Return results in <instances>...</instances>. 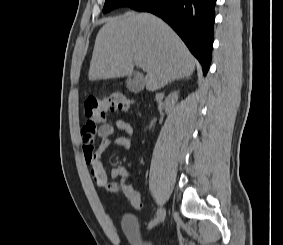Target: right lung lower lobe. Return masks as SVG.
Masks as SVG:
<instances>
[{"mask_svg": "<svg viewBox=\"0 0 283 245\" xmlns=\"http://www.w3.org/2000/svg\"><path fill=\"white\" fill-rule=\"evenodd\" d=\"M216 0H141L132 9L151 12L167 22L202 65L206 75L213 45Z\"/></svg>", "mask_w": 283, "mask_h": 245, "instance_id": "98d812e1", "label": "right lung lower lobe"}]
</instances>
